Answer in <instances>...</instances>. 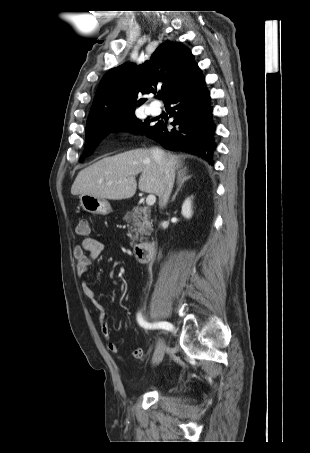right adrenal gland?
<instances>
[{
  "label": "right adrenal gland",
  "mask_w": 310,
  "mask_h": 453,
  "mask_svg": "<svg viewBox=\"0 0 310 453\" xmlns=\"http://www.w3.org/2000/svg\"><path fill=\"white\" fill-rule=\"evenodd\" d=\"M191 177H192L191 175L187 174L186 168L184 170H181L180 172H178V176H177L178 188H177L176 192L174 193V195L172 196L170 202L175 201L176 196H177L178 192L180 191L182 185L184 184L185 181L189 180Z\"/></svg>",
  "instance_id": "1"
}]
</instances>
